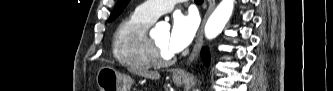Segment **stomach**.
I'll return each mask as SVG.
<instances>
[{
  "instance_id": "stomach-1",
  "label": "stomach",
  "mask_w": 333,
  "mask_h": 91,
  "mask_svg": "<svg viewBox=\"0 0 333 91\" xmlns=\"http://www.w3.org/2000/svg\"><path fill=\"white\" fill-rule=\"evenodd\" d=\"M173 82L181 85L184 78L173 77ZM96 83L99 91H130L134 80L110 66H103L97 72Z\"/></svg>"
}]
</instances>
